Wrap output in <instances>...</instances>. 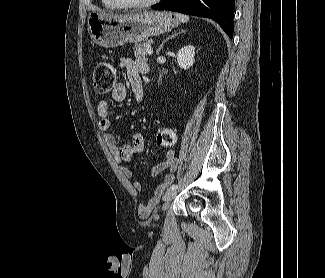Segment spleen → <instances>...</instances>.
<instances>
[{
  "label": "spleen",
  "instance_id": "1",
  "mask_svg": "<svg viewBox=\"0 0 325 278\" xmlns=\"http://www.w3.org/2000/svg\"><path fill=\"white\" fill-rule=\"evenodd\" d=\"M175 16L177 17V19L182 22V23H186L189 20V17L187 15H183V14H175Z\"/></svg>",
  "mask_w": 325,
  "mask_h": 278
}]
</instances>
